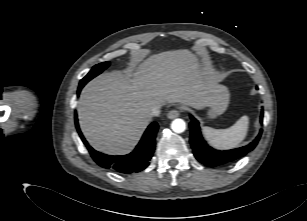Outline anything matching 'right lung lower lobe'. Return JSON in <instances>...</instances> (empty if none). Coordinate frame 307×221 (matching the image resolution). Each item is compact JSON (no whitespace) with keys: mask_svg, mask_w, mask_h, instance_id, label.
<instances>
[{"mask_svg":"<svg viewBox=\"0 0 307 221\" xmlns=\"http://www.w3.org/2000/svg\"><path fill=\"white\" fill-rule=\"evenodd\" d=\"M83 86V84L79 85L78 94ZM75 125L91 157L99 166L119 173H134L145 169L149 165V160L155 149V137L158 130V124L156 122L148 126L137 147L130 154L125 156H111L95 151L83 137L79 129L77 116H75Z\"/></svg>","mask_w":307,"mask_h":221,"instance_id":"obj_1","label":"right lung lower lobe"}]
</instances>
